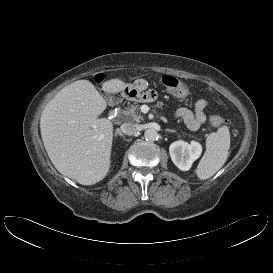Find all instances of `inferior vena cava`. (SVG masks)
Here are the masks:
<instances>
[{
  "instance_id": "inferior-vena-cava-1",
  "label": "inferior vena cava",
  "mask_w": 273,
  "mask_h": 273,
  "mask_svg": "<svg viewBox=\"0 0 273 273\" xmlns=\"http://www.w3.org/2000/svg\"><path fill=\"white\" fill-rule=\"evenodd\" d=\"M120 130L126 135H134L138 132V126L130 123H124L121 125Z\"/></svg>"
}]
</instances>
